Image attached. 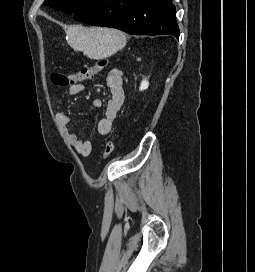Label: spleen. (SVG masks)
I'll use <instances>...</instances> for the list:
<instances>
[{
	"mask_svg": "<svg viewBox=\"0 0 255 272\" xmlns=\"http://www.w3.org/2000/svg\"><path fill=\"white\" fill-rule=\"evenodd\" d=\"M66 33L68 43L73 49L83 51L92 59L110 57L121 50L127 42L125 34L117 29L73 25Z\"/></svg>",
	"mask_w": 255,
	"mask_h": 272,
	"instance_id": "spleen-1",
	"label": "spleen"
}]
</instances>
